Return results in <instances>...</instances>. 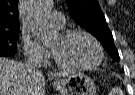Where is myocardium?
Masks as SVG:
<instances>
[{"label": "myocardium", "mask_w": 135, "mask_h": 95, "mask_svg": "<svg viewBox=\"0 0 135 95\" xmlns=\"http://www.w3.org/2000/svg\"><path fill=\"white\" fill-rule=\"evenodd\" d=\"M75 35H84L94 43V45L96 46L97 51H98L97 60L92 64H85V65L65 64V63L61 62L53 52L54 60H55V63L57 64V66L62 69H65V70H76V71L91 70V69L98 67L104 60V49H103V46L100 43V41L93 34H91L90 32H88L86 30H82V29L68 30V31H64L61 34L62 38H64V39H68Z\"/></svg>", "instance_id": "1"}]
</instances>
